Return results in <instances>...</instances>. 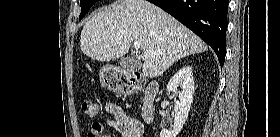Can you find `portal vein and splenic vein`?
Returning a JSON list of instances; mask_svg holds the SVG:
<instances>
[{"label": "portal vein and splenic vein", "instance_id": "portal-vein-and-splenic-vein-1", "mask_svg": "<svg viewBox=\"0 0 280 137\" xmlns=\"http://www.w3.org/2000/svg\"><path fill=\"white\" fill-rule=\"evenodd\" d=\"M134 49L139 50L140 49V45L138 43H134L133 44ZM143 58H147L150 54L149 53H143Z\"/></svg>", "mask_w": 280, "mask_h": 137}]
</instances>
